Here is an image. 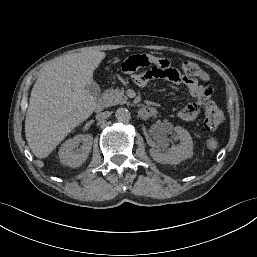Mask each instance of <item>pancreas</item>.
Listing matches in <instances>:
<instances>
[{
    "instance_id": "obj_1",
    "label": "pancreas",
    "mask_w": 257,
    "mask_h": 257,
    "mask_svg": "<svg viewBox=\"0 0 257 257\" xmlns=\"http://www.w3.org/2000/svg\"><path fill=\"white\" fill-rule=\"evenodd\" d=\"M102 98L104 100L105 106H114L118 104H126L127 102V96L124 94L123 90L119 89H108L106 90Z\"/></svg>"
}]
</instances>
